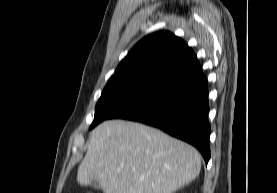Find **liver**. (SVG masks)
<instances>
[{
    "instance_id": "obj_1",
    "label": "liver",
    "mask_w": 277,
    "mask_h": 193,
    "mask_svg": "<svg viewBox=\"0 0 277 193\" xmlns=\"http://www.w3.org/2000/svg\"><path fill=\"white\" fill-rule=\"evenodd\" d=\"M201 156L189 144L130 121L109 120L91 133L77 181L104 193H173L193 181Z\"/></svg>"
}]
</instances>
